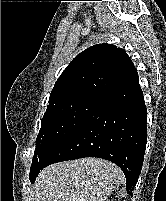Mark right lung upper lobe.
Segmentation results:
<instances>
[{"label": "right lung upper lobe", "instance_id": "obj_1", "mask_svg": "<svg viewBox=\"0 0 166 201\" xmlns=\"http://www.w3.org/2000/svg\"><path fill=\"white\" fill-rule=\"evenodd\" d=\"M127 53L113 44H98L78 54L58 78L48 108L84 95L105 96L132 70Z\"/></svg>", "mask_w": 166, "mask_h": 201}]
</instances>
